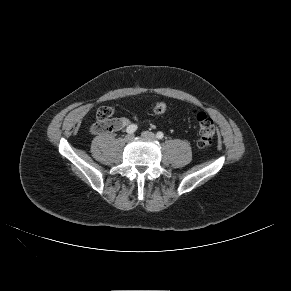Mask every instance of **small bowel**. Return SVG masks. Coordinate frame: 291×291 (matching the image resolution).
<instances>
[{
	"label": "small bowel",
	"mask_w": 291,
	"mask_h": 291,
	"mask_svg": "<svg viewBox=\"0 0 291 291\" xmlns=\"http://www.w3.org/2000/svg\"><path fill=\"white\" fill-rule=\"evenodd\" d=\"M132 121L128 117H116L112 119L113 130L112 131H120L126 126L131 125Z\"/></svg>",
	"instance_id": "small-bowel-1"
}]
</instances>
